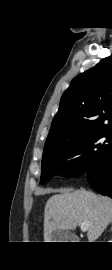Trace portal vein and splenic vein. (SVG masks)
<instances>
[{
  "label": "portal vein and splenic vein",
  "instance_id": "portal-vein-and-splenic-vein-1",
  "mask_svg": "<svg viewBox=\"0 0 112 270\" xmlns=\"http://www.w3.org/2000/svg\"><path fill=\"white\" fill-rule=\"evenodd\" d=\"M89 227V223L88 222H82L81 223V230L82 231H87Z\"/></svg>",
  "mask_w": 112,
  "mask_h": 270
}]
</instances>
